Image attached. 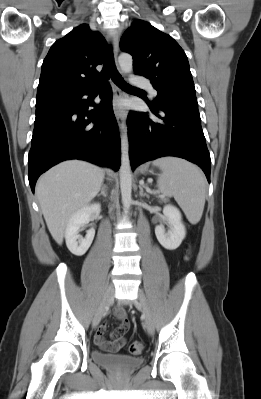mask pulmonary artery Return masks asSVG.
I'll list each match as a JSON object with an SVG mask.
<instances>
[{
  "mask_svg": "<svg viewBox=\"0 0 261 399\" xmlns=\"http://www.w3.org/2000/svg\"><path fill=\"white\" fill-rule=\"evenodd\" d=\"M134 83L141 88L147 89L151 92L153 96L156 95V91L153 89V87L150 85L149 81L146 79H136Z\"/></svg>",
  "mask_w": 261,
  "mask_h": 399,
  "instance_id": "e3ab8cb5",
  "label": "pulmonary artery"
}]
</instances>
